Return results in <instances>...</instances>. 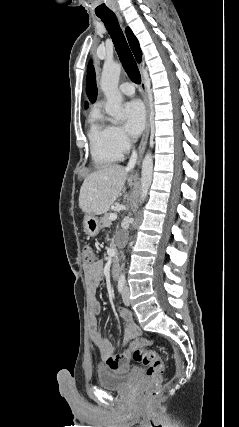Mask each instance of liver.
Returning <instances> with one entry per match:
<instances>
[{"instance_id":"obj_1","label":"liver","mask_w":239,"mask_h":427,"mask_svg":"<svg viewBox=\"0 0 239 427\" xmlns=\"http://www.w3.org/2000/svg\"><path fill=\"white\" fill-rule=\"evenodd\" d=\"M128 169L118 164H107L85 178L79 194V207L87 214L101 215L121 194L126 180L129 186L132 176L127 177Z\"/></svg>"}]
</instances>
